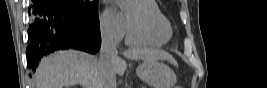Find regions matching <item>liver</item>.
<instances>
[{
    "label": "liver",
    "mask_w": 267,
    "mask_h": 88,
    "mask_svg": "<svg viewBox=\"0 0 267 88\" xmlns=\"http://www.w3.org/2000/svg\"><path fill=\"white\" fill-rule=\"evenodd\" d=\"M123 55L132 60L175 63L170 54L155 49L133 48ZM114 69L115 73L123 75L127 64L118 57L114 62ZM98 71V60L93 55L76 50L55 52L40 62L35 73L36 88H64L78 84L83 88H94L98 83Z\"/></svg>",
    "instance_id": "liver-1"
}]
</instances>
